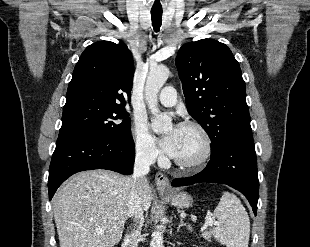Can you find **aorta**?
Listing matches in <instances>:
<instances>
[{
  "label": "aorta",
  "instance_id": "762f6f07",
  "mask_svg": "<svg viewBox=\"0 0 310 247\" xmlns=\"http://www.w3.org/2000/svg\"><path fill=\"white\" fill-rule=\"evenodd\" d=\"M170 71L166 66H158L150 70L145 85V100L153 117L152 130L156 133L170 128L172 119L158 109V93L169 77ZM150 247H163V227L158 226L152 233Z\"/></svg>",
  "mask_w": 310,
  "mask_h": 247
}]
</instances>
